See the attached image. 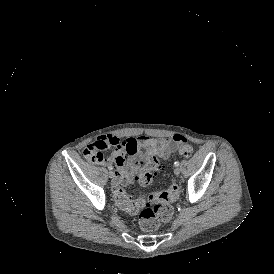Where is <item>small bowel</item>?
I'll return each mask as SVG.
<instances>
[{
  "label": "small bowel",
  "instance_id": "c3829d8e",
  "mask_svg": "<svg viewBox=\"0 0 274 274\" xmlns=\"http://www.w3.org/2000/svg\"><path fill=\"white\" fill-rule=\"evenodd\" d=\"M182 142H186V139L180 134L171 138H153L141 135L125 140H120L112 135H104L85 148L84 157L92 164L113 166V185L117 187L130 184L146 160L154 156L167 158L173 149ZM108 147H114L110 156L103 153Z\"/></svg>",
  "mask_w": 274,
  "mask_h": 274
}]
</instances>
